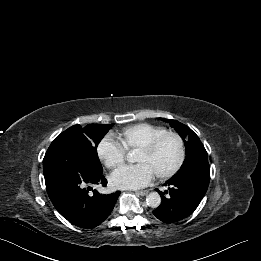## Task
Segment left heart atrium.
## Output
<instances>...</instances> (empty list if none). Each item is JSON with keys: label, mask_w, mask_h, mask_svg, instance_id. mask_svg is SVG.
<instances>
[{"label": "left heart atrium", "mask_w": 261, "mask_h": 261, "mask_svg": "<svg viewBox=\"0 0 261 261\" xmlns=\"http://www.w3.org/2000/svg\"><path fill=\"white\" fill-rule=\"evenodd\" d=\"M156 174L143 163L123 166L110 176V183L118 189H138L151 184Z\"/></svg>", "instance_id": "1"}]
</instances>
